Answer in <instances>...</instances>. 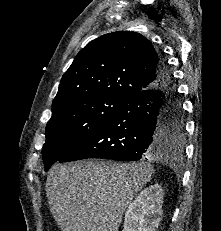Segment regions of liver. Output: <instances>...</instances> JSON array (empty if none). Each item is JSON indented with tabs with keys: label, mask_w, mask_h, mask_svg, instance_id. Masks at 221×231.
I'll use <instances>...</instances> for the list:
<instances>
[{
	"label": "liver",
	"mask_w": 221,
	"mask_h": 231,
	"mask_svg": "<svg viewBox=\"0 0 221 231\" xmlns=\"http://www.w3.org/2000/svg\"><path fill=\"white\" fill-rule=\"evenodd\" d=\"M153 173L144 162L57 164L46 181L50 211L62 231H119L124 211Z\"/></svg>",
	"instance_id": "obj_1"
}]
</instances>
